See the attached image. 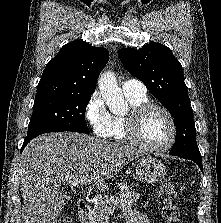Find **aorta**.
I'll return each mask as SVG.
<instances>
[{
  "instance_id": "aorta-1",
  "label": "aorta",
  "mask_w": 221,
  "mask_h": 223,
  "mask_svg": "<svg viewBox=\"0 0 221 223\" xmlns=\"http://www.w3.org/2000/svg\"><path fill=\"white\" fill-rule=\"evenodd\" d=\"M99 90L109 110L114 114H122L128 104L124 100L122 90L117 85L116 76L113 72L108 71L101 74L98 80Z\"/></svg>"
}]
</instances>
